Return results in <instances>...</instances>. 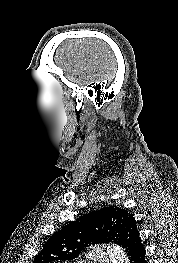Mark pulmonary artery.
I'll list each match as a JSON object with an SVG mask.
<instances>
[{
    "instance_id": "e3ab8cb5",
    "label": "pulmonary artery",
    "mask_w": 178,
    "mask_h": 263,
    "mask_svg": "<svg viewBox=\"0 0 178 263\" xmlns=\"http://www.w3.org/2000/svg\"><path fill=\"white\" fill-rule=\"evenodd\" d=\"M89 259L94 263L107 261V255L102 248H93L89 252Z\"/></svg>"
}]
</instances>
